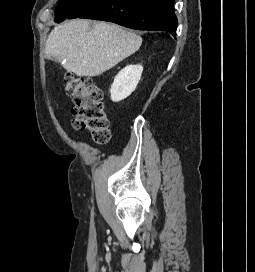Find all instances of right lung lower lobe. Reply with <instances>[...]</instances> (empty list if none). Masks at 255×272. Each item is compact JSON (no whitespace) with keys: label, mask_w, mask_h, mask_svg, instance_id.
I'll list each match as a JSON object with an SVG mask.
<instances>
[{"label":"right lung lower lobe","mask_w":255,"mask_h":272,"mask_svg":"<svg viewBox=\"0 0 255 272\" xmlns=\"http://www.w3.org/2000/svg\"><path fill=\"white\" fill-rule=\"evenodd\" d=\"M87 18L176 36L174 0H90L67 19Z\"/></svg>","instance_id":"1"}]
</instances>
